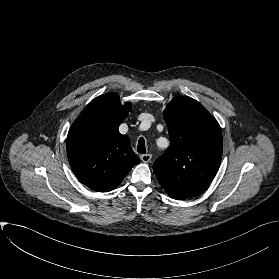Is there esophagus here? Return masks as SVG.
<instances>
[{
  "mask_svg": "<svg viewBox=\"0 0 279 279\" xmlns=\"http://www.w3.org/2000/svg\"><path fill=\"white\" fill-rule=\"evenodd\" d=\"M140 158L144 163H148L151 160L152 155L151 154H143V155L140 156Z\"/></svg>",
  "mask_w": 279,
  "mask_h": 279,
  "instance_id": "esophagus-1",
  "label": "esophagus"
}]
</instances>
